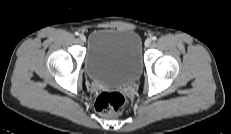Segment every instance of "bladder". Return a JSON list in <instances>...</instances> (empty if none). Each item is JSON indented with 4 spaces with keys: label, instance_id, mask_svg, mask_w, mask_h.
Listing matches in <instances>:
<instances>
[{
    "label": "bladder",
    "instance_id": "1",
    "mask_svg": "<svg viewBox=\"0 0 231 134\" xmlns=\"http://www.w3.org/2000/svg\"><path fill=\"white\" fill-rule=\"evenodd\" d=\"M84 67L89 79L102 85L134 82L143 67L140 36L131 30H94L88 37Z\"/></svg>",
    "mask_w": 231,
    "mask_h": 134
}]
</instances>
